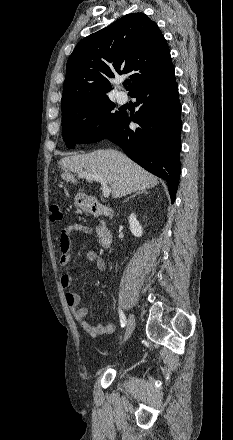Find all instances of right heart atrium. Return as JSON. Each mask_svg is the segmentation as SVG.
<instances>
[{"label":"right heart atrium","instance_id":"obj_1","mask_svg":"<svg viewBox=\"0 0 233 440\" xmlns=\"http://www.w3.org/2000/svg\"><path fill=\"white\" fill-rule=\"evenodd\" d=\"M88 128L92 132H98L101 129V118L98 114H92L87 121Z\"/></svg>","mask_w":233,"mask_h":440}]
</instances>
